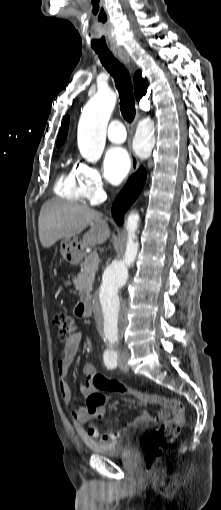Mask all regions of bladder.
I'll return each instance as SVG.
<instances>
[{"instance_id":"1","label":"bladder","mask_w":221,"mask_h":510,"mask_svg":"<svg viewBox=\"0 0 221 510\" xmlns=\"http://www.w3.org/2000/svg\"><path fill=\"white\" fill-rule=\"evenodd\" d=\"M136 434L126 433L113 441L88 442L87 447L93 452L108 458H117L128 455L135 446Z\"/></svg>"}]
</instances>
